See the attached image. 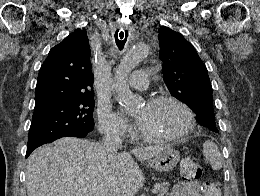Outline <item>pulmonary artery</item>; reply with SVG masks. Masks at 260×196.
<instances>
[{"mask_svg":"<svg viewBox=\"0 0 260 196\" xmlns=\"http://www.w3.org/2000/svg\"><path fill=\"white\" fill-rule=\"evenodd\" d=\"M150 69H136L135 79H123V84H132L127 85V90H144L147 85L144 84V81H150Z\"/></svg>","mask_w":260,"mask_h":196,"instance_id":"obj_1","label":"pulmonary artery"}]
</instances>
